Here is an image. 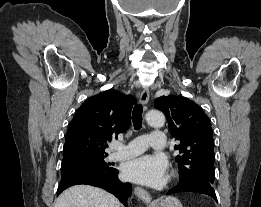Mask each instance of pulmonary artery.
<instances>
[{
  "label": "pulmonary artery",
  "mask_w": 261,
  "mask_h": 207,
  "mask_svg": "<svg viewBox=\"0 0 261 207\" xmlns=\"http://www.w3.org/2000/svg\"><path fill=\"white\" fill-rule=\"evenodd\" d=\"M148 146L161 150L165 147V134L162 131H153L147 136H139L127 145L114 144V152L109 155V160L118 161L135 157L143 153Z\"/></svg>",
  "instance_id": "obj_1"
}]
</instances>
